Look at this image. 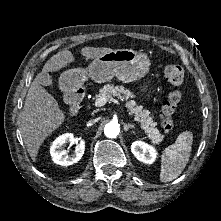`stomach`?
<instances>
[{"label": "stomach", "mask_w": 221, "mask_h": 221, "mask_svg": "<svg viewBox=\"0 0 221 221\" xmlns=\"http://www.w3.org/2000/svg\"><path fill=\"white\" fill-rule=\"evenodd\" d=\"M151 62L143 52L132 49H116L96 57L87 69L72 68L62 73L61 80L72 87L81 86L87 77L97 83L113 77L129 83L140 80L150 69Z\"/></svg>", "instance_id": "stomach-1"}]
</instances>
